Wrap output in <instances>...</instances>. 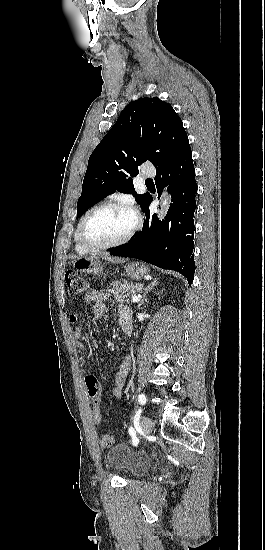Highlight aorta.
<instances>
[{
    "label": "aorta",
    "mask_w": 265,
    "mask_h": 550,
    "mask_svg": "<svg viewBox=\"0 0 265 550\" xmlns=\"http://www.w3.org/2000/svg\"><path fill=\"white\" fill-rule=\"evenodd\" d=\"M168 205H169V202H168V200L165 198V200L163 201V204H162L161 214H163L164 212L167 211Z\"/></svg>",
    "instance_id": "aorta-1"
}]
</instances>
